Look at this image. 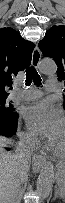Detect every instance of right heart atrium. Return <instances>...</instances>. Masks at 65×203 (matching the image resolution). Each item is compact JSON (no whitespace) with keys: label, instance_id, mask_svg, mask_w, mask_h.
<instances>
[{"label":"right heart atrium","instance_id":"right-heart-atrium-1","mask_svg":"<svg viewBox=\"0 0 65 203\" xmlns=\"http://www.w3.org/2000/svg\"><path fill=\"white\" fill-rule=\"evenodd\" d=\"M20 138L29 147L34 146L37 143V138L29 131L21 132Z\"/></svg>","mask_w":65,"mask_h":203}]
</instances>
